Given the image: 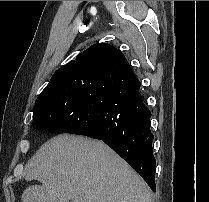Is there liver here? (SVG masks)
I'll return each instance as SVG.
<instances>
[{
    "label": "liver",
    "instance_id": "liver-1",
    "mask_svg": "<svg viewBox=\"0 0 209 202\" xmlns=\"http://www.w3.org/2000/svg\"><path fill=\"white\" fill-rule=\"evenodd\" d=\"M22 202H151L140 176L103 142L60 134L26 165Z\"/></svg>",
    "mask_w": 209,
    "mask_h": 202
}]
</instances>
